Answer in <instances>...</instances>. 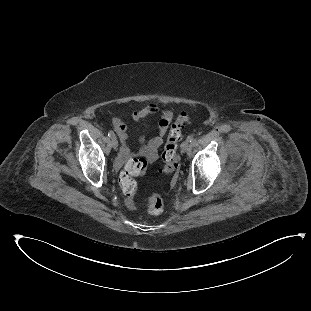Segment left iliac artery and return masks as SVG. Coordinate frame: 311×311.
<instances>
[{"label": "left iliac artery", "instance_id": "left-iliac-artery-1", "mask_svg": "<svg viewBox=\"0 0 311 311\" xmlns=\"http://www.w3.org/2000/svg\"><path fill=\"white\" fill-rule=\"evenodd\" d=\"M194 140V136L193 135H189L188 137H187V141L188 142H192Z\"/></svg>", "mask_w": 311, "mask_h": 311}]
</instances>
